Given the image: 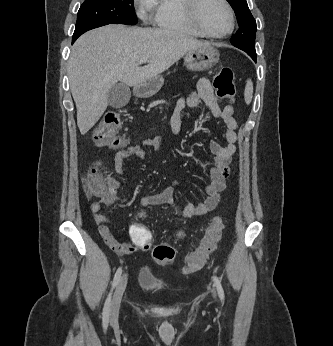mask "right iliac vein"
Listing matches in <instances>:
<instances>
[{
	"mask_svg": "<svg viewBox=\"0 0 333 346\" xmlns=\"http://www.w3.org/2000/svg\"><path fill=\"white\" fill-rule=\"evenodd\" d=\"M126 286H127V276L124 275L120 279L112 299L111 311H110V318L112 322H115L118 318L121 300L125 292Z\"/></svg>",
	"mask_w": 333,
	"mask_h": 346,
	"instance_id": "right-iliac-vein-1",
	"label": "right iliac vein"
}]
</instances>
